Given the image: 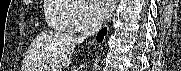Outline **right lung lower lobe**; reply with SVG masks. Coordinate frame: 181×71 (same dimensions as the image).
Returning <instances> with one entry per match:
<instances>
[{
  "label": "right lung lower lobe",
  "instance_id": "1",
  "mask_svg": "<svg viewBox=\"0 0 181 71\" xmlns=\"http://www.w3.org/2000/svg\"><path fill=\"white\" fill-rule=\"evenodd\" d=\"M107 33V28H103L101 31H99L98 35H97V41L98 42H101L102 39H104V36L106 35Z\"/></svg>",
  "mask_w": 181,
  "mask_h": 71
}]
</instances>
